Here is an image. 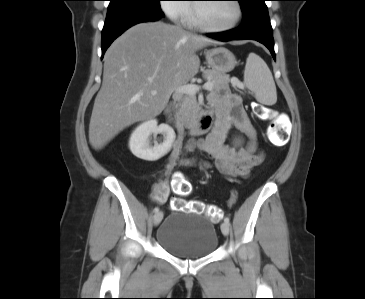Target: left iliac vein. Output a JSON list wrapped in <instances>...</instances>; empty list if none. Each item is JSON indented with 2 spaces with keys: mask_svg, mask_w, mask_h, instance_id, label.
<instances>
[{
  "mask_svg": "<svg viewBox=\"0 0 365 299\" xmlns=\"http://www.w3.org/2000/svg\"><path fill=\"white\" fill-rule=\"evenodd\" d=\"M221 231L225 236H227L229 234V231H230V225L226 222H223L221 224Z\"/></svg>",
  "mask_w": 365,
  "mask_h": 299,
  "instance_id": "obj_1",
  "label": "left iliac vein"
}]
</instances>
